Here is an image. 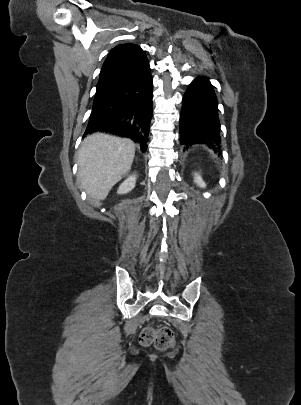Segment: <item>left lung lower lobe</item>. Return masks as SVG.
<instances>
[{"mask_svg": "<svg viewBox=\"0 0 301 405\" xmlns=\"http://www.w3.org/2000/svg\"><path fill=\"white\" fill-rule=\"evenodd\" d=\"M180 115V142L184 146L203 144L220 149L218 102L207 78L198 77L183 97Z\"/></svg>", "mask_w": 301, "mask_h": 405, "instance_id": "left-lung-lower-lobe-1", "label": "left lung lower lobe"}]
</instances>
